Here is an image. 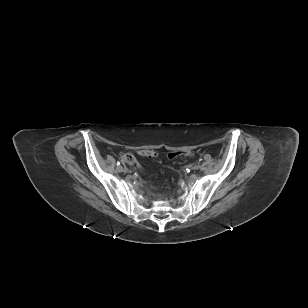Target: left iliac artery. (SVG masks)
Returning <instances> with one entry per match:
<instances>
[{"label":"left iliac artery","instance_id":"obj_1","mask_svg":"<svg viewBox=\"0 0 308 308\" xmlns=\"http://www.w3.org/2000/svg\"><path fill=\"white\" fill-rule=\"evenodd\" d=\"M203 159H204V161L208 162V161H210L211 158H210V156L205 155Z\"/></svg>","mask_w":308,"mask_h":308}]
</instances>
